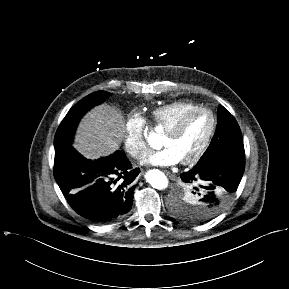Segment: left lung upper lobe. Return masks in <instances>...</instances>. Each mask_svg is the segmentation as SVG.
Here are the masks:
<instances>
[{
	"instance_id": "obj_1",
	"label": "left lung upper lobe",
	"mask_w": 289,
	"mask_h": 289,
	"mask_svg": "<svg viewBox=\"0 0 289 289\" xmlns=\"http://www.w3.org/2000/svg\"><path fill=\"white\" fill-rule=\"evenodd\" d=\"M228 154H244L240 127L233 116L223 107H218V121L211 143L198 163ZM190 186V185H188ZM180 188L171 202L173 214L185 221L201 223L210 220L203 217L202 206L193 188Z\"/></svg>"
}]
</instances>
